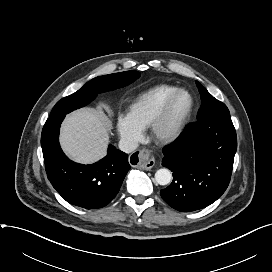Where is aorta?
Wrapping results in <instances>:
<instances>
[{
	"label": "aorta",
	"mask_w": 272,
	"mask_h": 272,
	"mask_svg": "<svg viewBox=\"0 0 272 272\" xmlns=\"http://www.w3.org/2000/svg\"><path fill=\"white\" fill-rule=\"evenodd\" d=\"M171 179L172 174L166 168L159 169L155 173V180L159 185H167L170 183Z\"/></svg>",
	"instance_id": "1"
}]
</instances>
